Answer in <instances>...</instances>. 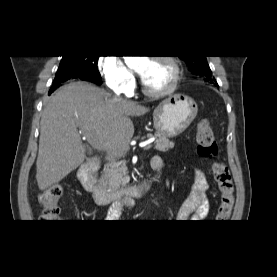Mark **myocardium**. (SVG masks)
Segmentation results:
<instances>
[{"label": "myocardium", "mask_w": 277, "mask_h": 277, "mask_svg": "<svg viewBox=\"0 0 277 277\" xmlns=\"http://www.w3.org/2000/svg\"><path fill=\"white\" fill-rule=\"evenodd\" d=\"M154 61L164 62L166 65L170 67L172 72L171 81L167 87L161 90H152V89H149L145 84H143L142 91L145 95L150 97H155V98L164 97L175 91L180 81L181 69L178 62L173 57H170V56L160 55L155 57Z\"/></svg>", "instance_id": "1"}]
</instances>
